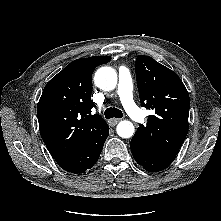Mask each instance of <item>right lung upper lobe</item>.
<instances>
[{"label": "right lung upper lobe", "instance_id": "1", "mask_svg": "<svg viewBox=\"0 0 221 221\" xmlns=\"http://www.w3.org/2000/svg\"><path fill=\"white\" fill-rule=\"evenodd\" d=\"M110 60V56L77 59L45 86L37 117L41 137L56 162L65 159L106 126L100 115H91L92 73Z\"/></svg>", "mask_w": 221, "mask_h": 221}]
</instances>
